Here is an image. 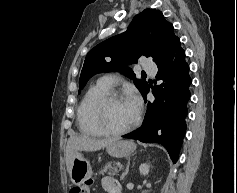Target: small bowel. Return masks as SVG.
I'll use <instances>...</instances> for the list:
<instances>
[{
  "mask_svg": "<svg viewBox=\"0 0 237 193\" xmlns=\"http://www.w3.org/2000/svg\"><path fill=\"white\" fill-rule=\"evenodd\" d=\"M102 185L108 191V193H120L115 181L110 177L103 178Z\"/></svg>",
  "mask_w": 237,
  "mask_h": 193,
  "instance_id": "small-bowel-1",
  "label": "small bowel"
}]
</instances>
